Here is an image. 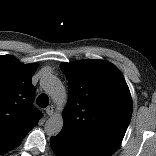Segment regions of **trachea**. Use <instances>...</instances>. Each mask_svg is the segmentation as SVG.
Returning a JSON list of instances; mask_svg holds the SVG:
<instances>
[{"mask_svg":"<svg viewBox=\"0 0 156 156\" xmlns=\"http://www.w3.org/2000/svg\"><path fill=\"white\" fill-rule=\"evenodd\" d=\"M36 103L38 106L42 107V108H45L48 106L49 104V98L46 94H40L38 97H37V100H36Z\"/></svg>","mask_w":156,"mask_h":156,"instance_id":"trachea-1","label":"trachea"}]
</instances>
